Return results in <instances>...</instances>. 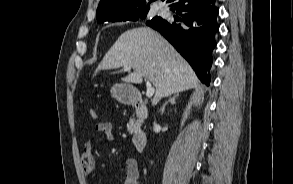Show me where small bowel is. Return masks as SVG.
Masks as SVG:
<instances>
[{"mask_svg":"<svg viewBox=\"0 0 293 184\" xmlns=\"http://www.w3.org/2000/svg\"><path fill=\"white\" fill-rule=\"evenodd\" d=\"M95 130L104 134L106 138L113 140V125L110 122H98L95 124ZM96 165L95 157L92 153V142L90 139L85 140L82 151V171L85 175H90ZM125 178L123 184H141L140 171L135 159L129 158L122 166Z\"/></svg>","mask_w":293,"mask_h":184,"instance_id":"c3829d8e","label":"small bowel"}]
</instances>
